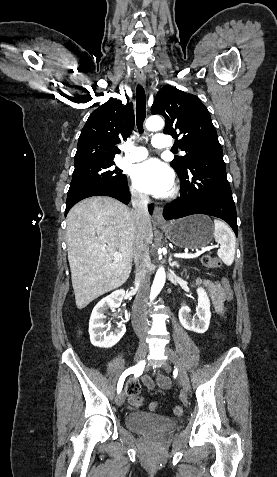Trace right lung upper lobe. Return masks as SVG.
Segmentation results:
<instances>
[{
    "mask_svg": "<svg viewBox=\"0 0 277 477\" xmlns=\"http://www.w3.org/2000/svg\"><path fill=\"white\" fill-rule=\"evenodd\" d=\"M134 127L133 106L123 107L110 98L94 110L83 127L77 145L74 166L113 161L120 150L115 146L126 139Z\"/></svg>",
    "mask_w": 277,
    "mask_h": 477,
    "instance_id": "right-lung-upper-lobe-1",
    "label": "right lung upper lobe"
}]
</instances>
